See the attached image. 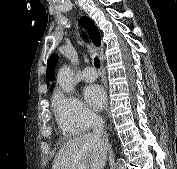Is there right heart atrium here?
<instances>
[{"label":"right heart atrium","mask_w":177,"mask_h":169,"mask_svg":"<svg viewBox=\"0 0 177 169\" xmlns=\"http://www.w3.org/2000/svg\"><path fill=\"white\" fill-rule=\"evenodd\" d=\"M53 109L59 127L69 135L80 134L98 119L78 97L61 91L54 96Z\"/></svg>","instance_id":"1"}]
</instances>
